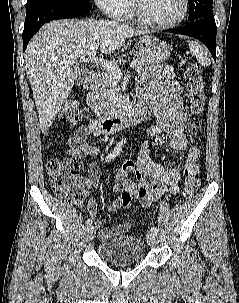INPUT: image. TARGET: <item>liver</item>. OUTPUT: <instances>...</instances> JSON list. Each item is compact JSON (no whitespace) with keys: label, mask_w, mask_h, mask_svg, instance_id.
Wrapping results in <instances>:
<instances>
[{"label":"liver","mask_w":239,"mask_h":303,"mask_svg":"<svg viewBox=\"0 0 239 303\" xmlns=\"http://www.w3.org/2000/svg\"><path fill=\"white\" fill-rule=\"evenodd\" d=\"M145 32L110 20H57L45 24L25 51V68L38 110L40 129L46 132L80 74L77 60L100 45L112 54L130 37Z\"/></svg>","instance_id":"6515ba94"}]
</instances>
